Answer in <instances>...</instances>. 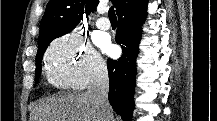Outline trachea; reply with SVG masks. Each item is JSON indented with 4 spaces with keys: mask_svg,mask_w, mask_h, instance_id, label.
Segmentation results:
<instances>
[{
    "mask_svg": "<svg viewBox=\"0 0 217 121\" xmlns=\"http://www.w3.org/2000/svg\"><path fill=\"white\" fill-rule=\"evenodd\" d=\"M108 16L110 19H117L113 6L109 8Z\"/></svg>",
    "mask_w": 217,
    "mask_h": 121,
    "instance_id": "3493384b",
    "label": "trachea"
}]
</instances>
